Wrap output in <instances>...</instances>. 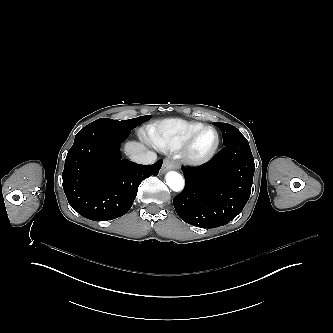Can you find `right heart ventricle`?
Wrapping results in <instances>:
<instances>
[{
  "instance_id": "right-heart-ventricle-1",
  "label": "right heart ventricle",
  "mask_w": 333,
  "mask_h": 333,
  "mask_svg": "<svg viewBox=\"0 0 333 333\" xmlns=\"http://www.w3.org/2000/svg\"><path fill=\"white\" fill-rule=\"evenodd\" d=\"M202 125L199 121L169 119L147 128L143 138L162 151H176L181 148L186 137Z\"/></svg>"
}]
</instances>
